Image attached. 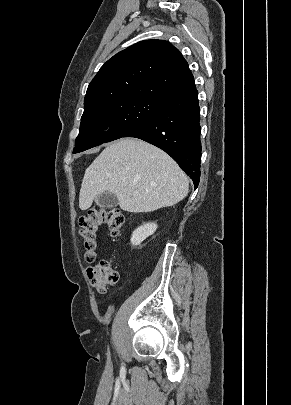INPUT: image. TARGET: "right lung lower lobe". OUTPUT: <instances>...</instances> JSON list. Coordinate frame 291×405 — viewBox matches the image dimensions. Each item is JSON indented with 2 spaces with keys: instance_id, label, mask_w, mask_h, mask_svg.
Wrapping results in <instances>:
<instances>
[{
  "instance_id": "obj_1",
  "label": "right lung lower lobe",
  "mask_w": 291,
  "mask_h": 405,
  "mask_svg": "<svg viewBox=\"0 0 291 405\" xmlns=\"http://www.w3.org/2000/svg\"><path fill=\"white\" fill-rule=\"evenodd\" d=\"M200 107L198 91L192 87L169 97L144 124L124 137L151 143L169 154L193 180H200Z\"/></svg>"
}]
</instances>
